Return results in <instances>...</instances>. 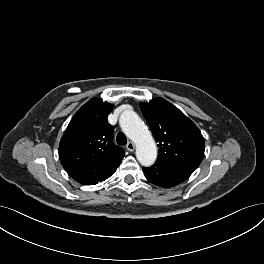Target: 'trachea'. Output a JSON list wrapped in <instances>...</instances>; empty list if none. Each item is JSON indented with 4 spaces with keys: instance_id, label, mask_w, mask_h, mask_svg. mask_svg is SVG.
Instances as JSON below:
<instances>
[{
    "instance_id": "obj_1",
    "label": "trachea",
    "mask_w": 264,
    "mask_h": 264,
    "mask_svg": "<svg viewBox=\"0 0 264 264\" xmlns=\"http://www.w3.org/2000/svg\"><path fill=\"white\" fill-rule=\"evenodd\" d=\"M116 141H117V144H119V145H126L127 144V138L122 132H119L117 134Z\"/></svg>"
}]
</instances>
